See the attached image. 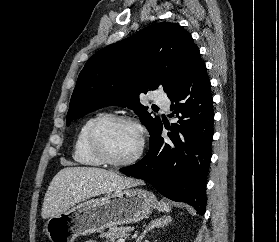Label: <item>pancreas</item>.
Segmentation results:
<instances>
[{
	"label": "pancreas",
	"mask_w": 279,
	"mask_h": 242,
	"mask_svg": "<svg viewBox=\"0 0 279 242\" xmlns=\"http://www.w3.org/2000/svg\"><path fill=\"white\" fill-rule=\"evenodd\" d=\"M133 228L126 227H113L107 232H102L99 237L105 239V242H115L118 238H124L129 236V232L132 231Z\"/></svg>",
	"instance_id": "cf45deb5"
}]
</instances>
